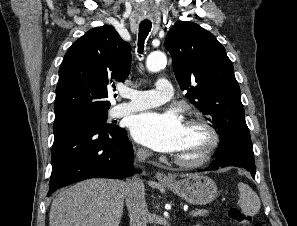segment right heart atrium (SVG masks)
<instances>
[{
    "mask_svg": "<svg viewBox=\"0 0 297 226\" xmlns=\"http://www.w3.org/2000/svg\"><path fill=\"white\" fill-rule=\"evenodd\" d=\"M140 155H145V151L140 150Z\"/></svg>",
    "mask_w": 297,
    "mask_h": 226,
    "instance_id": "1",
    "label": "right heart atrium"
}]
</instances>
